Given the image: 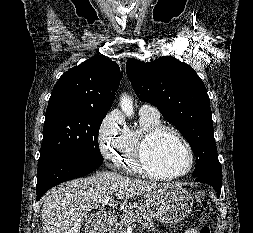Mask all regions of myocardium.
I'll use <instances>...</instances> for the list:
<instances>
[{
  "label": "myocardium",
  "mask_w": 253,
  "mask_h": 233,
  "mask_svg": "<svg viewBox=\"0 0 253 233\" xmlns=\"http://www.w3.org/2000/svg\"><path fill=\"white\" fill-rule=\"evenodd\" d=\"M163 134L172 135L185 146L188 152L189 162L187 168L183 172L177 174H158L152 171L148 166V149L151 144ZM136 162L141 172L146 176L159 180H175L187 176L192 171L195 163V153L190 142L178 130L170 126L160 125L147 131L140 139L136 153Z\"/></svg>",
  "instance_id": "1"
}]
</instances>
